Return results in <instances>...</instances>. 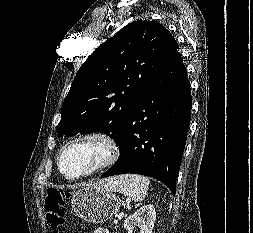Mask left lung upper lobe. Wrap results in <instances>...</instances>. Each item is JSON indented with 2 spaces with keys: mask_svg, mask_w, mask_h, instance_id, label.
Returning <instances> with one entry per match:
<instances>
[{
  "mask_svg": "<svg viewBox=\"0 0 253 233\" xmlns=\"http://www.w3.org/2000/svg\"><path fill=\"white\" fill-rule=\"evenodd\" d=\"M178 45L157 21H134L81 65L61 108L59 136L101 132L117 143L124 123L162 77Z\"/></svg>",
  "mask_w": 253,
  "mask_h": 233,
  "instance_id": "left-lung-upper-lobe-1",
  "label": "left lung upper lobe"
}]
</instances>
